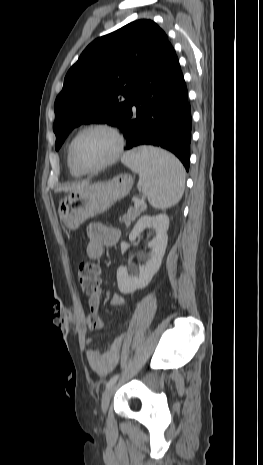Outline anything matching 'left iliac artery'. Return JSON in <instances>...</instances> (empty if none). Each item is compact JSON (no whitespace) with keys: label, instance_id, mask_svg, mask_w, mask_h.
<instances>
[{"label":"left iliac artery","instance_id":"1","mask_svg":"<svg viewBox=\"0 0 263 465\" xmlns=\"http://www.w3.org/2000/svg\"><path fill=\"white\" fill-rule=\"evenodd\" d=\"M119 375H114L106 384V388H108L109 386H111L113 383H115L118 379Z\"/></svg>","mask_w":263,"mask_h":465}]
</instances>
